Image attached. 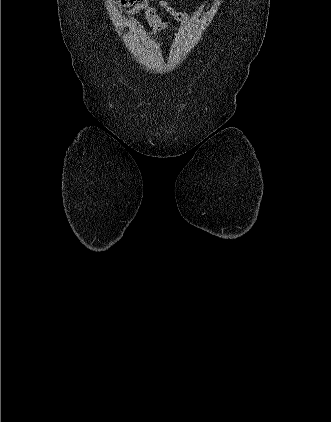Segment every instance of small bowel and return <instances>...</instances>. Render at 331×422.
<instances>
[{
	"instance_id": "small-bowel-1",
	"label": "small bowel",
	"mask_w": 331,
	"mask_h": 422,
	"mask_svg": "<svg viewBox=\"0 0 331 422\" xmlns=\"http://www.w3.org/2000/svg\"><path fill=\"white\" fill-rule=\"evenodd\" d=\"M113 6L126 7L122 14L123 17H130L143 12L151 30L143 33V36L154 35L158 31H175L173 27L163 22L158 16L156 10L151 7L148 0H110ZM159 5L165 9L180 25L187 26L190 23V17L187 13L175 10L167 0H158Z\"/></svg>"
}]
</instances>
